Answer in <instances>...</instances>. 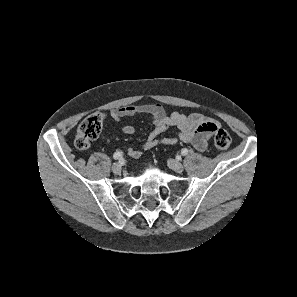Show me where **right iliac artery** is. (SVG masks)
<instances>
[{
    "label": "right iliac artery",
    "instance_id": "obj_1",
    "mask_svg": "<svg viewBox=\"0 0 297 297\" xmlns=\"http://www.w3.org/2000/svg\"><path fill=\"white\" fill-rule=\"evenodd\" d=\"M113 158L118 160V159H121L122 158V152L120 151H117L113 154Z\"/></svg>",
    "mask_w": 297,
    "mask_h": 297
}]
</instances>
